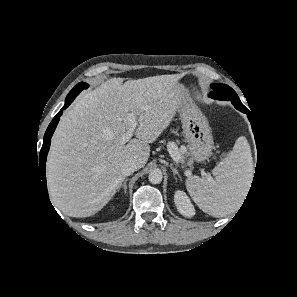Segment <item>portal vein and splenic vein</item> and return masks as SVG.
<instances>
[{
  "mask_svg": "<svg viewBox=\"0 0 297 297\" xmlns=\"http://www.w3.org/2000/svg\"><path fill=\"white\" fill-rule=\"evenodd\" d=\"M126 120L128 121L129 124V128L126 131V133H124L121 138H120V142L121 144H125L127 143L131 137L133 136V132L135 131V128L137 127V121H136V116L134 113H128ZM175 147L173 145H168V152L171 155V157L173 158V160L176 163H179L180 157L175 153Z\"/></svg>",
  "mask_w": 297,
  "mask_h": 297,
  "instance_id": "1",
  "label": "portal vein and splenic vein"
}]
</instances>
